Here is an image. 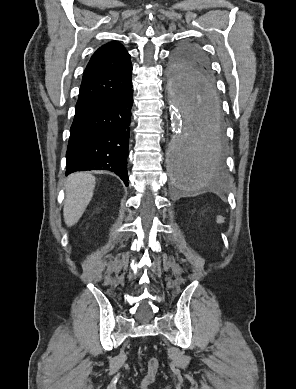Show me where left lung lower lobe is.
Masks as SVG:
<instances>
[{"instance_id":"0a47b994","label":"left lung lower lobe","mask_w":296,"mask_h":389,"mask_svg":"<svg viewBox=\"0 0 296 389\" xmlns=\"http://www.w3.org/2000/svg\"><path fill=\"white\" fill-rule=\"evenodd\" d=\"M180 89L184 97H192V103L200 104L204 119L182 143L176 170H181L186 179L220 177L224 158V124L215 83L197 76L196 80L180 86ZM197 96L201 99L197 100Z\"/></svg>"}]
</instances>
